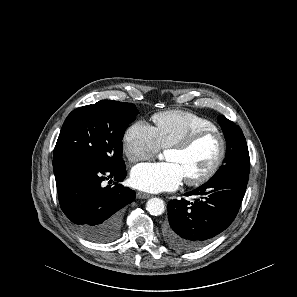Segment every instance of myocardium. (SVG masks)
I'll use <instances>...</instances> for the list:
<instances>
[{
	"instance_id": "f54148a6",
	"label": "myocardium",
	"mask_w": 297,
	"mask_h": 297,
	"mask_svg": "<svg viewBox=\"0 0 297 297\" xmlns=\"http://www.w3.org/2000/svg\"><path fill=\"white\" fill-rule=\"evenodd\" d=\"M208 136H215L218 139L220 143L219 155L215 160V162L212 164V166L204 173L197 175L195 177L187 178L185 180L187 185L195 186V185L203 184L209 181L211 178H213L216 175V173L223 165L227 156L228 147H227L226 138L224 137L222 132H220L217 129H203V130L195 131L183 138H180L168 146V149H178V150L185 151L190 149L201 139Z\"/></svg>"
}]
</instances>
